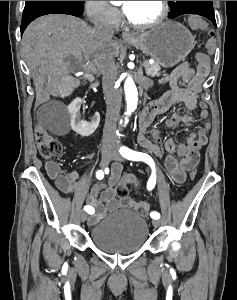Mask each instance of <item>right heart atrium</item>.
<instances>
[{
  "instance_id": "1",
  "label": "right heart atrium",
  "mask_w": 237,
  "mask_h": 300,
  "mask_svg": "<svg viewBox=\"0 0 237 300\" xmlns=\"http://www.w3.org/2000/svg\"><path fill=\"white\" fill-rule=\"evenodd\" d=\"M85 13L88 19L98 26L113 28L120 23L119 12L107 1H85Z\"/></svg>"
}]
</instances>
